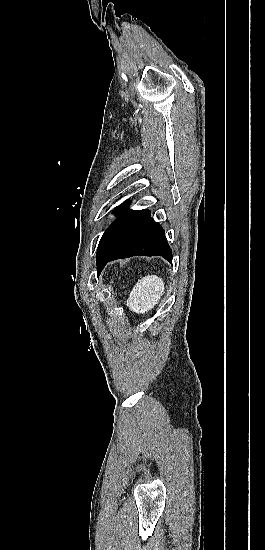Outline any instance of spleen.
Masks as SVG:
<instances>
[{
	"label": "spleen",
	"instance_id": "3e777b00",
	"mask_svg": "<svg viewBox=\"0 0 265 550\" xmlns=\"http://www.w3.org/2000/svg\"><path fill=\"white\" fill-rule=\"evenodd\" d=\"M164 285L163 279L156 275L141 278L130 292L127 306L137 314L150 311L163 296Z\"/></svg>",
	"mask_w": 265,
	"mask_h": 550
}]
</instances>
